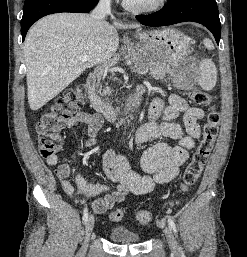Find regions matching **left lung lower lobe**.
<instances>
[{
    "mask_svg": "<svg viewBox=\"0 0 247 257\" xmlns=\"http://www.w3.org/2000/svg\"><path fill=\"white\" fill-rule=\"evenodd\" d=\"M136 19L147 26L197 22L212 32L219 45L221 23L215 0H167V5L161 10L149 15H137Z\"/></svg>",
    "mask_w": 247,
    "mask_h": 257,
    "instance_id": "0a47b994",
    "label": "left lung lower lobe"
}]
</instances>
